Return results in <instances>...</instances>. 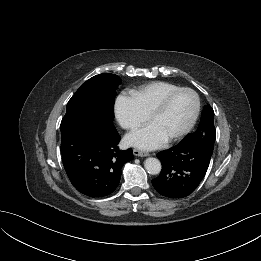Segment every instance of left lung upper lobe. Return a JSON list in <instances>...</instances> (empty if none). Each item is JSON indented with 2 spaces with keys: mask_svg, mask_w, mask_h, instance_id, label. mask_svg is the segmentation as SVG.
<instances>
[{
  "mask_svg": "<svg viewBox=\"0 0 261 261\" xmlns=\"http://www.w3.org/2000/svg\"><path fill=\"white\" fill-rule=\"evenodd\" d=\"M214 111L211 106L204 107L198 129L188 134L181 142L196 143L206 146L213 153L216 130L214 127Z\"/></svg>",
  "mask_w": 261,
  "mask_h": 261,
  "instance_id": "1",
  "label": "left lung upper lobe"
}]
</instances>
